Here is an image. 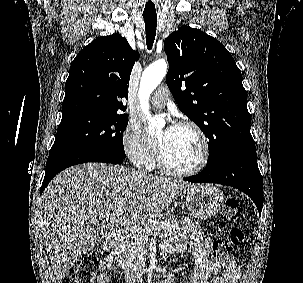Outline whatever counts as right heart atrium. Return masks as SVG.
Wrapping results in <instances>:
<instances>
[{
    "instance_id": "right-heart-atrium-1",
    "label": "right heart atrium",
    "mask_w": 303,
    "mask_h": 283,
    "mask_svg": "<svg viewBox=\"0 0 303 283\" xmlns=\"http://www.w3.org/2000/svg\"><path fill=\"white\" fill-rule=\"evenodd\" d=\"M123 148L137 166H146L154 157L156 146L136 122H129L123 133Z\"/></svg>"
}]
</instances>
